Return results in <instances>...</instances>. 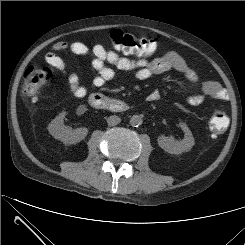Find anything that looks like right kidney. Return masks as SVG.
Here are the masks:
<instances>
[{
	"label": "right kidney",
	"mask_w": 245,
	"mask_h": 245,
	"mask_svg": "<svg viewBox=\"0 0 245 245\" xmlns=\"http://www.w3.org/2000/svg\"><path fill=\"white\" fill-rule=\"evenodd\" d=\"M66 113L59 114L55 119L48 125L49 133L56 139L63 141L67 144H76L82 141L88 133L87 128L72 129L64 125L63 119Z\"/></svg>",
	"instance_id": "1"
}]
</instances>
